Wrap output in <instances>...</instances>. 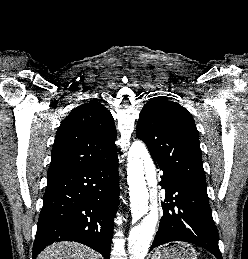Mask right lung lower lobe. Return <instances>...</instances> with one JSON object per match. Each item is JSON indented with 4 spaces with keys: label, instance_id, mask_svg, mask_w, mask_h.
Masks as SVG:
<instances>
[{
    "label": "right lung lower lobe",
    "instance_id": "right-lung-lower-lobe-1",
    "mask_svg": "<svg viewBox=\"0 0 248 259\" xmlns=\"http://www.w3.org/2000/svg\"><path fill=\"white\" fill-rule=\"evenodd\" d=\"M33 259L59 241L83 243L110 258L114 217L119 204L118 158L47 177Z\"/></svg>",
    "mask_w": 248,
    "mask_h": 259
}]
</instances>
